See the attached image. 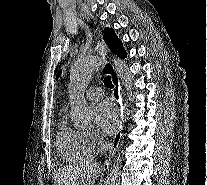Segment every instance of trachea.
Returning <instances> with one entry per match:
<instances>
[{"instance_id":"1","label":"trachea","mask_w":207,"mask_h":185,"mask_svg":"<svg viewBox=\"0 0 207 185\" xmlns=\"http://www.w3.org/2000/svg\"><path fill=\"white\" fill-rule=\"evenodd\" d=\"M104 84L106 85V87L113 88V84L110 76L104 78Z\"/></svg>"}]
</instances>
